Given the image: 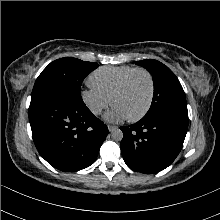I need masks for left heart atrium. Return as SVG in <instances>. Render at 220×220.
Masks as SVG:
<instances>
[{
    "label": "left heart atrium",
    "mask_w": 220,
    "mask_h": 220,
    "mask_svg": "<svg viewBox=\"0 0 220 220\" xmlns=\"http://www.w3.org/2000/svg\"><path fill=\"white\" fill-rule=\"evenodd\" d=\"M126 113L118 106H113V108L105 114V119L110 122H118L127 119Z\"/></svg>",
    "instance_id": "left-heart-atrium-1"
}]
</instances>
